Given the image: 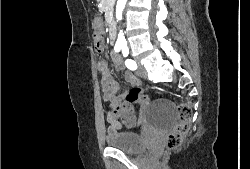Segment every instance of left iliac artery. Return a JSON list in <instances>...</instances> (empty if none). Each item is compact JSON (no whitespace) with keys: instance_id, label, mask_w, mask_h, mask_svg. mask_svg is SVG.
Segmentation results:
<instances>
[{"instance_id":"44dca946","label":"left iliac artery","mask_w":250,"mask_h":169,"mask_svg":"<svg viewBox=\"0 0 250 169\" xmlns=\"http://www.w3.org/2000/svg\"><path fill=\"white\" fill-rule=\"evenodd\" d=\"M122 53H123V56H124V57H127L128 54H129V50H123ZM125 65H126V67H127L128 69H130V70H136V69H137V64H136V62H135L134 60H132V59H126Z\"/></svg>"}]
</instances>
